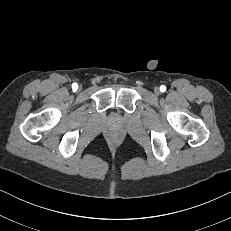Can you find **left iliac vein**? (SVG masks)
<instances>
[{
  "instance_id": "4c4485c4",
  "label": "left iliac vein",
  "mask_w": 231,
  "mask_h": 231,
  "mask_svg": "<svg viewBox=\"0 0 231 231\" xmlns=\"http://www.w3.org/2000/svg\"><path fill=\"white\" fill-rule=\"evenodd\" d=\"M154 92H155V94H156V95H158V94L160 93L159 88H158V87H156V88L154 89Z\"/></svg>"
}]
</instances>
